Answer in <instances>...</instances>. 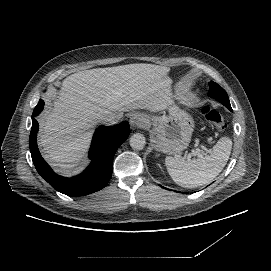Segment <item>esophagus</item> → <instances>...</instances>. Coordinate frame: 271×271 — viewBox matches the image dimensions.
<instances>
[{"label":"esophagus","mask_w":271,"mask_h":271,"mask_svg":"<svg viewBox=\"0 0 271 271\" xmlns=\"http://www.w3.org/2000/svg\"><path fill=\"white\" fill-rule=\"evenodd\" d=\"M145 116L140 112H134L130 115V125L132 129H139L145 123Z\"/></svg>","instance_id":"obj_1"}]
</instances>
